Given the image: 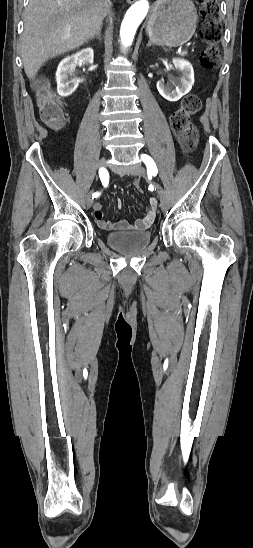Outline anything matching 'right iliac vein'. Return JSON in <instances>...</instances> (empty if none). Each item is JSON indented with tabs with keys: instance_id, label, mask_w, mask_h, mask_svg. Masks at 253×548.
Returning a JSON list of instances; mask_svg holds the SVG:
<instances>
[{
	"instance_id": "1",
	"label": "right iliac vein",
	"mask_w": 253,
	"mask_h": 548,
	"mask_svg": "<svg viewBox=\"0 0 253 548\" xmlns=\"http://www.w3.org/2000/svg\"><path fill=\"white\" fill-rule=\"evenodd\" d=\"M99 168H103L106 165V157H102L99 161ZM87 207L90 208L93 204L92 193L90 192L86 200Z\"/></svg>"
}]
</instances>
